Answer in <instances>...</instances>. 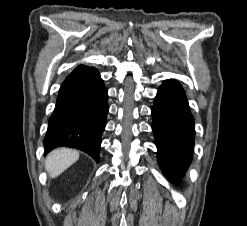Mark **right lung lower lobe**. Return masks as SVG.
I'll list each match as a JSON object with an SVG mask.
<instances>
[{
  "label": "right lung lower lobe",
  "mask_w": 247,
  "mask_h": 226,
  "mask_svg": "<svg viewBox=\"0 0 247 226\" xmlns=\"http://www.w3.org/2000/svg\"><path fill=\"white\" fill-rule=\"evenodd\" d=\"M108 94L98 70L77 66L64 80L44 138L45 153L60 147L82 150L99 161Z\"/></svg>",
  "instance_id": "right-lung-lower-lobe-1"
}]
</instances>
